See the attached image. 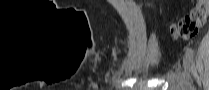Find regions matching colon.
Instances as JSON below:
<instances>
[{
	"label": "colon",
	"instance_id": "1",
	"mask_svg": "<svg viewBox=\"0 0 209 90\" xmlns=\"http://www.w3.org/2000/svg\"><path fill=\"white\" fill-rule=\"evenodd\" d=\"M208 14L209 0H199L187 15L170 25L172 36L175 39H190L205 24Z\"/></svg>",
	"mask_w": 209,
	"mask_h": 90
}]
</instances>
